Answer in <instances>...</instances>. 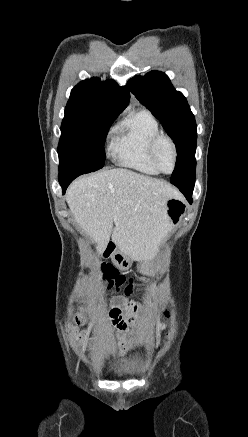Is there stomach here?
<instances>
[{"label":"stomach","mask_w":248,"mask_h":437,"mask_svg":"<svg viewBox=\"0 0 248 437\" xmlns=\"http://www.w3.org/2000/svg\"><path fill=\"white\" fill-rule=\"evenodd\" d=\"M185 213L186 204L182 199L170 198L167 200V216L170 228L176 227L181 222ZM114 262L121 272H126L132 264L131 259L122 252L117 253ZM138 270H141V267H138ZM144 270L148 273V276H152V273L157 272L158 267L156 264H146Z\"/></svg>","instance_id":"stomach-1"}]
</instances>
